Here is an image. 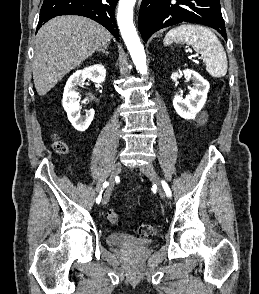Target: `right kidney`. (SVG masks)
I'll return each mask as SVG.
<instances>
[{
  "label": "right kidney",
  "mask_w": 259,
  "mask_h": 294,
  "mask_svg": "<svg viewBox=\"0 0 259 294\" xmlns=\"http://www.w3.org/2000/svg\"><path fill=\"white\" fill-rule=\"evenodd\" d=\"M105 77L106 70L101 64L78 70L69 77L64 88L62 104L69 121L76 130L85 131L91 124L95 113L93 109H90L85 116L80 115L77 86L84 84L87 78L96 84H101L105 81Z\"/></svg>",
  "instance_id": "right-kidney-1"
}]
</instances>
